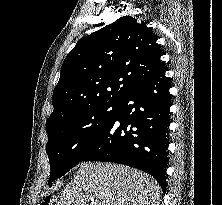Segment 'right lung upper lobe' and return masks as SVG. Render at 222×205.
<instances>
[{"mask_svg": "<svg viewBox=\"0 0 222 205\" xmlns=\"http://www.w3.org/2000/svg\"><path fill=\"white\" fill-rule=\"evenodd\" d=\"M161 55L146 23L131 16L80 39L62 65L46 126L94 104L120 102L165 69Z\"/></svg>", "mask_w": 222, "mask_h": 205, "instance_id": "right-lung-upper-lobe-1", "label": "right lung upper lobe"}]
</instances>
